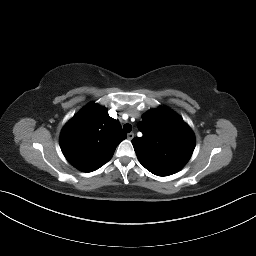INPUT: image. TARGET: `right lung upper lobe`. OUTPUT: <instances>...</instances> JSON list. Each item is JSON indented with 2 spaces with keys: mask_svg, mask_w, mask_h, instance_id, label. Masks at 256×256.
I'll list each match as a JSON object with an SVG mask.
<instances>
[{
  "mask_svg": "<svg viewBox=\"0 0 256 256\" xmlns=\"http://www.w3.org/2000/svg\"><path fill=\"white\" fill-rule=\"evenodd\" d=\"M126 137L120 123L108 116L105 107L91 103L64 126L60 147L74 167L92 172L109 161Z\"/></svg>",
  "mask_w": 256,
  "mask_h": 256,
  "instance_id": "right-lung-upper-lobe-1",
  "label": "right lung upper lobe"
}]
</instances>
